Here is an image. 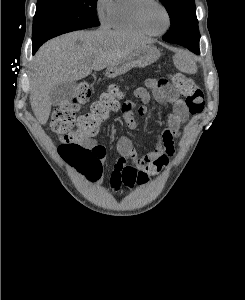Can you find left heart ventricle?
I'll return each mask as SVG.
<instances>
[{
  "label": "left heart ventricle",
  "mask_w": 245,
  "mask_h": 300,
  "mask_svg": "<svg viewBox=\"0 0 245 300\" xmlns=\"http://www.w3.org/2000/svg\"><path fill=\"white\" fill-rule=\"evenodd\" d=\"M145 19L148 26L153 30H160L166 24V18L163 11L155 5H150L147 7Z\"/></svg>",
  "instance_id": "obj_1"
}]
</instances>
